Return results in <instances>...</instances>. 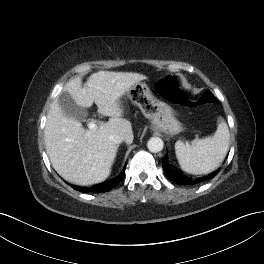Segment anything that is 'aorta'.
Listing matches in <instances>:
<instances>
[{
    "mask_svg": "<svg viewBox=\"0 0 264 264\" xmlns=\"http://www.w3.org/2000/svg\"><path fill=\"white\" fill-rule=\"evenodd\" d=\"M147 147L150 152L157 153L162 151L164 147L163 140L159 137H152L147 143Z\"/></svg>",
    "mask_w": 264,
    "mask_h": 264,
    "instance_id": "762f6f07",
    "label": "aorta"
}]
</instances>
